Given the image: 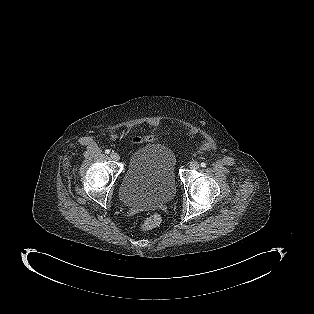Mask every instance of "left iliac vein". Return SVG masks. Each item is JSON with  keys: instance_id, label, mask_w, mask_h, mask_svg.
Segmentation results:
<instances>
[{"instance_id": "4c4485c4", "label": "left iliac vein", "mask_w": 314, "mask_h": 314, "mask_svg": "<svg viewBox=\"0 0 314 314\" xmlns=\"http://www.w3.org/2000/svg\"><path fill=\"white\" fill-rule=\"evenodd\" d=\"M189 166H190V169L192 170H197L200 167V165L197 162H191Z\"/></svg>"}]
</instances>
